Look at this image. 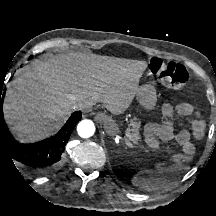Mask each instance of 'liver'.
Wrapping results in <instances>:
<instances>
[{"label": "liver", "instance_id": "liver-1", "mask_svg": "<svg viewBox=\"0 0 216 216\" xmlns=\"http://www.w3.org/2000/svg\"><path fill=\"white\" fill-rule=\"evenodd\" d=\"M147 64L83 54L45 55L24 68L7 90L4 113L23 140L42 138L66 119L80 98L115 112L138 91Z\"/></svg>", "mask_w": 216, "mask_h": 216}]
</instances>
